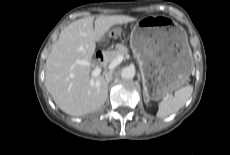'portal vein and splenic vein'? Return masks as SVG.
Listing matches in <instances>:
<instances>
[{
    "instance_id": "1",
    "label": "portal vein and splenic vein",
    "mask_w": 230,
    "mask_h": 155,
    "mask_svg": "<svg viewBox=\"0 0 230 155\" xmlns=\"http://www.w3.org/2000/svg\"><path fill=\"white\" fill-rule=\"evenodd\" d=\"M123 58V55L117 56L109 63L108 68L110 70L115 69L123 61ZM75 63L83 66L93 67L94 70L92 71V76H98L101 73V68L94 62L88 60H76Z\"/></svg>"
}]
</instances>
